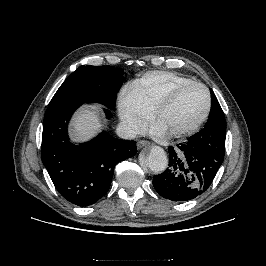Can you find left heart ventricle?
<instances>
[{"instance_id":"b2bd125f","label":"left heart ventricle","mask_w":266,"mask_h":266,"mask_svg":"<svg viewBox=\"0 0 266 266\" xmlns=\"http://www.w3.org/2000/svg\"><path fill=\"white\" fill-rule=\"evenodd\" d=\"M205 107V92L199 87H189L161 112L157 123L167 132L185 128L203 114Z\"/></svg>"}]
</instances>
